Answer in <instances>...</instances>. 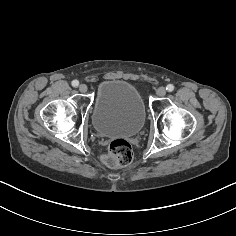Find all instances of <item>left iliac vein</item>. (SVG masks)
I'll list each match as a JSON object with an SVG mask.
<instances>
[{
    "instance_id": "left-iliac-vein-1",
    "label": "left iliac vein",
    "mask_w": 236,
    "mask_h": 236,
    "mask_svg": "<svg viewBox=\"0 0 236 236\" xmlns=\"http://www.w3.org/2000/svg\"><path fill=\"white\" fill-rule=\"evenodd\" d=\"M156 93L159 97H163L166 94V89L164 87H159L157 89Z\"/></svg>"
}]
</instances>
